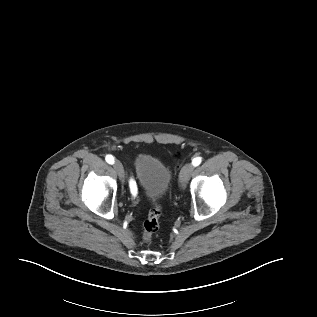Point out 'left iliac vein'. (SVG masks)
<instances>
[{
    "label": "left iliac vein",
    "mask_w": 317,
    "mask_h": 317,
    "mask_svg": "<svg viewBox=\"0 0 317 317\" xmlns=\"http://www.w3.org/2000/svg\"><path fill=\"white\" fill-rule=\"evenodd\" d=\"M193 170H194V167L191 163H187L182 167L180 171V175H179V182L181 187H185V184L190 179L193 173Z\"/></svg>",
    "instance_id": "1"
}]
</instances>
